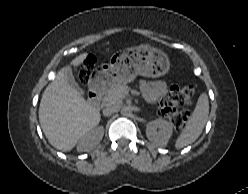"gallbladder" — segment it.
Masks as SVG:
<instances>
[{
    "mask_svg": "<svg viewBox=\"0 0 248 194\" xmlns=\"http://www.w3.org/2000/svg\"><path fill=\"white\" fill-rule=\"evenodd\" d=\"M65 75L67 78L68 83L71 85L72 88H74L79 93H82V89L79 87V85L76 83L73 75H72V69L71 67H66L65 69Z\"/></svg>",
    "mask_w": 248,
    "mask_h": 194,
    "instance_id": "gallbladder-1",
    "label": "gallbladder"
}]
</instances>
